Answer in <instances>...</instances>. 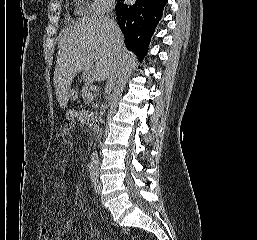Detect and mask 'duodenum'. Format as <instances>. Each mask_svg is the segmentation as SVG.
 <instances>
[{
    "instance_id": "duodenum-1",
    "label": "duodenum",
    "mask_w": 257,
    "mask_h": 240,
    "mask_svg": "<svg viewBox=\"0 0 257 240\" xmlns=\"http://www.w3.org/2000/svg\"><path fill=\"white\" fill-rule=\"evenodd\" d=\"M101 120H102V116L99 113L92 116V118H91V126L96 133L99 132V127H100Z\"/></svg>"
}]
</instances>
